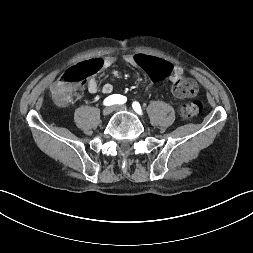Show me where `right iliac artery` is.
I'll use <instances>...</instances> for the list:
<instances>
[{
  "label": "right iliac artery",
  "mask_w": 253,
  "mask_h": 253,
  "mask_svg": "<svg viewBox=\"0 0 253 253\" xmlns=\"http://www.w3.org/2000/svg\"><path fill=\"white\" fill-rule=\"evenodd\" d=\"M127 101L126 97L119 94H113L108 96L103 104L106 106L114 105V104H124Z\"/></svg>",
  "instance_id": "1"
}]
</instances>
